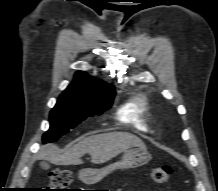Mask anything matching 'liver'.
Instances as JSON below:
<instances>
[{"mask_svg": "<svg viewBox=\"0 0 218 191\" xmlns=\"http://www.w3.org/2000/svg\"><path fill=\"white\" fill-rule=\"evenodd\" d=\"M132 147L146 149L143 141L133 134L109 132L84 138L64 153H60L55 145H46L38 157L55 165H80L83 163L81 157L88 153L92 163L101 164Z\"/></svg>", "mask_w": 218, "mask_h": 191, "instance_id": "obj_1", "label": "liver"}]
</instances>
